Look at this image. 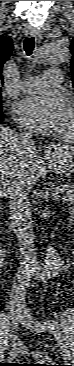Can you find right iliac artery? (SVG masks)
Segmentation results:
<instances>
[{
	"instance_id": "right-iliac-artery-1",
	"label": "right iliac artery",
	"mask_w": 74,
	"mask_h": 366,
	"mask_svg": "<svg viewBox=\"0 0 74 366\" xmlns=\"http://www.w3.org/2000/svg\"><path fill=\"white\" fill-rule=\"evenodd\" d=\"M15 353V350L14 349H12V351H11V355H13Z\"/></svg>"
}]
</instances>
